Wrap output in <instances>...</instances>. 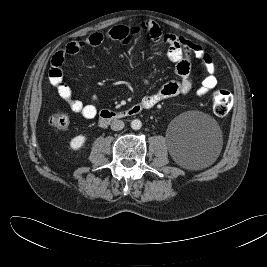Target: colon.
Instances as JSON below:
<instances>
[{
  "label": "colon",
  "mask_w": 267,
  "mask_h": 267,
  "mask_svg": "<svg viewBox=\"0 0 267 267\" xmlns=\"http://www.w3.org/2000/svg\"><path fill=\"white\" fill-rule=\"evenodd\" d=\"M233 106V96L226 89L216 90L212 95V108L215 115L223 117L229 113ZM69 117L62 112L53 114L50 119V125L57 130H65L69 126Z\"/></svg>",
  "instance_id": "1"
}]
</instances>
